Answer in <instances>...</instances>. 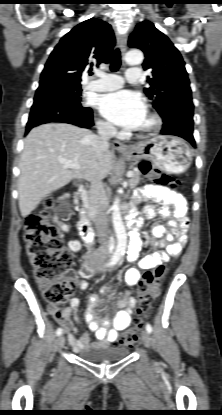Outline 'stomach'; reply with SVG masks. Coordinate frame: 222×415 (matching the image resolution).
I'll return each instance as SVG.
<instances>
[{
  "label": "stomach",
  "mask_w": 222,
  "mask_h": 415,
  "mask_svg": "<svg viewBox=\"0 0 222 415\" xmlns=\"http://www.w3.org/2000/svg\"><path fill=\"white\" fill-rule=\"evenodd\" d=\"M135 160L148 159L159 169L180 174L191 165L192 152L187 143L179 137L160 136L139 143L128 152Z\"/></svg>",
  "instance_id": "obj_1"
}]
</instances>
